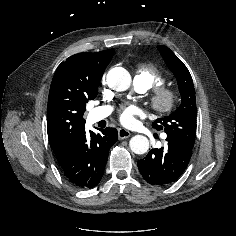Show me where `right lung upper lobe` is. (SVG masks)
<instances>
[{
  "mask_svg": "<svg viewBox=\"0 0 236 236\" xmlns=\"http://www.w3.org/2000/svg\"><path fill=\"white\" fill-rule=\"evenodd\" d=\"M114 50L80 53L62 62L53 77L47 107V132L58 163L71 153L85 129V104L93 100Z\"/></svg>",
  "mask_w": 236,
  "mask_h": 236,
  "instance_id": "1",
  "label": "right lung upper lobe"
}]
</instances>
